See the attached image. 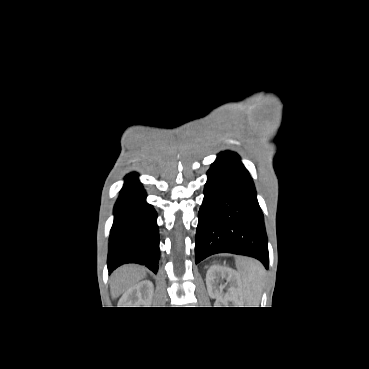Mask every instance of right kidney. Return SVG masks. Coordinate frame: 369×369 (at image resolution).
<instances>
[{
  "mask_svg": "<svg viewBox=\"0 0 369 369\" xmlns=\"http://www.w3.org/2000/svg\"><path fill=\"white\" fill-rule=\"evenodd\" d=\"M153 292V283L149 280H143L126 291L124 295L125 305L127 307H149Z\"/></svg>",
  "mask_w": 369,
  "mask_h": 369,
  "instance_id": "1",
  "label": "right kidney"
}]
</instances>
